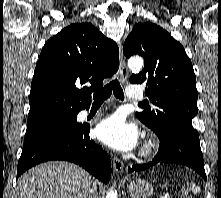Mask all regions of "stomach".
I'll return each mask as SVG.
<instances>
[{
    "instance_id": "obj_1",
    "label": "stomach",
    "mask_w": 221,
    "mask_h": 198,
    "mask_svg": "<svg viewBox=\"0 0 221 198\" xmlns=\"http://www.w3.org/2000/svg\"><path fill=\"white\" fill-rule=\"evenodd\" d=\"M127 191L133 198H148L153 194V186L140 178L130 180L127 184Z\"/></svg>"
}]
</instances>
